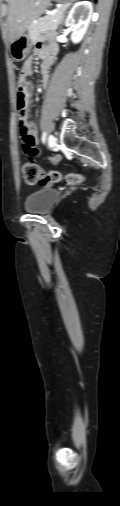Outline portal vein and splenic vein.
<instances>
[{
    "instance_id": "18ae733b",
    "label": "portal vein and splenic vein",
    "mask_w": 120,
    "mask_h": 506,
    "mask_svg": "<svg viewBox=\"0 0 120 506\" xmlns=\"http://www.w3.org/2000/svg\"><path fill=\"white\" fill-rule=\"evenodd\" d=\"M58 10H59L58 8H57V9H54V10L50 13V15H54L55 13H57V12H58Z\"/></svg>"
}]
</instances>
